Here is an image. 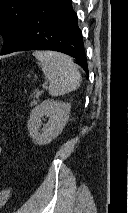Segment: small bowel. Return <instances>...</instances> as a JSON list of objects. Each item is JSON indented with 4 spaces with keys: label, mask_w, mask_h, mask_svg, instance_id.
Returning <instances> with one entry per match:
<instances>
[{
    "label": "small bowel",
    "mask_w": 128,
    "mask_h": 213,
    "mask_svg": "<svg viewBox=\"0 0 128 213\" xmlns=\"http://www.w3.org/2000/svg\"><path fill=\"white\" fill-rule=\"evenodd\" d=\"M2 153V147L0 146V154Z\"/></svg>",
    "instance_id": "obj_1"
}]
</instances>
